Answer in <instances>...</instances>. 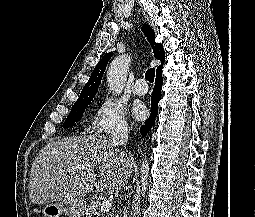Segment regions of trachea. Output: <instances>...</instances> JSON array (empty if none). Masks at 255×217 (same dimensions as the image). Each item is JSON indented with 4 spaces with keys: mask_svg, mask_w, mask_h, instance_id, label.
<instances>
[{
    "mask_svg": "<svg viewBox=\"0 0 255 217\" xmlns=\"http://www.w3.org/2000/svg\"><path fill=\"white\" fill-rule=\"evenodd\" d=\"M154 77H155V69L149 68L145 73L146 80H148L150 83H152V82H154Z\"/></svg>",
    "mask_w": 255,
    "mask_h": 217,
    "instance_id": "1",
    "label": "trachea"
}]
</instances>
